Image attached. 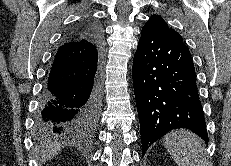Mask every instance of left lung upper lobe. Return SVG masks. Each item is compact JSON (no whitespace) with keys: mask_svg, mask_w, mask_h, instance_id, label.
<instances>
[{"mask_svg":"<svg viewBox=\"0 0 231 166\" xmlns=\"http://www.w3.org/2000/svg\"><path fill=\"white\" fill-rule=\"evenodd\" d=\"M144 28L150 29L163 38L183 42L182 36L174 29L169 28L161 16L152 15L149 21L144 25Z\"/></svg>","mask_w":231,"mask_h":166,"instance_id":"1","label":"left lung upper lobe"}]
</instances>
